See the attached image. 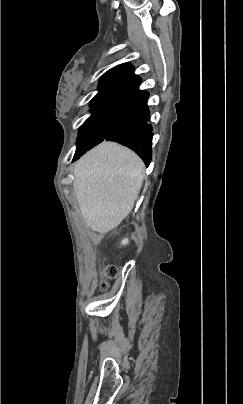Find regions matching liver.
Returning <instances> with one entry per match:
<instances>
[{
	"label": "liver",
	"mask_w": 243,
	"mask_h": 404,
	"mask_svg": "<svg viewBox=\"0 0 243 404\" xmlns=\"http://www.w3.org/2000/svg\"><path fill=\"white\" fill-rule=\"evenodd\" d=\"M145 166L116 142H102L76 162L74 192L84 222L106 234L130 214L142 188Z\"/></svg>",
	"instance_id": "6515ba94"
}]
</instances>
